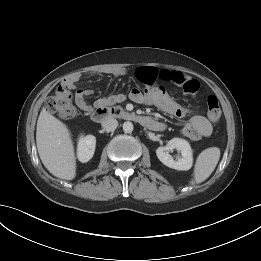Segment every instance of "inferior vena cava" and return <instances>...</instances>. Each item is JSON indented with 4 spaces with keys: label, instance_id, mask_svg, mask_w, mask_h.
Instances as JSON below:
<instances>
[{
    "label": "inferior vena cava",
    "instance_id": "inferior-vena-cava-1",
    "mask_svg": "<svg viewBox=\"0 0 261 261\" xmlns=\"http://www.w3.org/2000/svg\"><path fill=\"white\" fill-rule=\"evenodd\" d=\"M102 126L107 131H114L118 126V121L114 118H108L103 123Z\"/></svg>",
    "mask_w": 261,
    "mask_h": 261
}]
</instances>
